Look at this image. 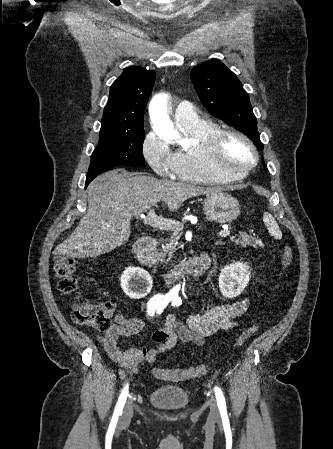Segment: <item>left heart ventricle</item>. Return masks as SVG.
Returning <instances> with one entry per match:
<instances>
[{"label":"left heart ventricle","instance_id":"1","mask_svg":"<svg viewBox=\"0 0 333 449\" xmlns=\"http://www.w3.org/2000/svg\"><path fill=\"white\" fill-rule=\"evenodd\" d=\"M252 160L250 150L237 140H230L224 150L222 165L226 168L239 170Z\"/></svg>","mask_w":333,"mask_h":449}]
</instances>
